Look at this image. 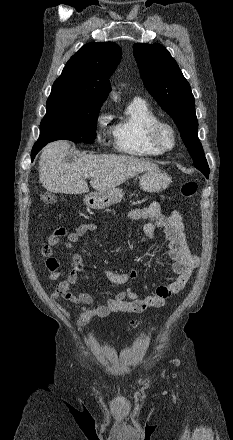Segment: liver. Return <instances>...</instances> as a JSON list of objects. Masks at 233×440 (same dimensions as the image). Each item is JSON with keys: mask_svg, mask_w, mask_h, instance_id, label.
<instances>
[{"mask_svg": "<svg viewBox=\"0 0 233 440\" xmlns=\"http://www.w3.org/2000/svg\"><path fill=\"white\" fill-rule=\"evenodd\" d=\"M71 145L59 140L49 143L39 160V180L48 191L62 194L89 192L85 181L91 174L90 185L102 192L115 188L127 179L149 170L158 169L150 161L126 155H85L66 161Z\"/></svg>", "mask_w": 233, "mask_h": 440, "instance_id": "1", "label": "liver"}]
</instances>
